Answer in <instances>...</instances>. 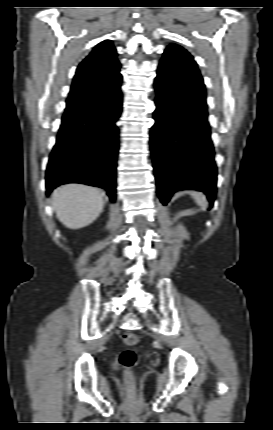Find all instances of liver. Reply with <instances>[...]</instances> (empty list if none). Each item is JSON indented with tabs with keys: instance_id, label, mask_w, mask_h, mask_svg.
Wrapping results in <instances>:
<instances>
[{
	"instance_id": "6515ba94",
	"label": "liver",
	"mask_w": 273,
	"mask_h": 430,
	"mask_svg": "<svg viewBox=\"0 0 273 430\" xmlns=\"http://www.w3.org/2000/svg\"><path fill=\"white\" fill-rule=\"evenodd\" d=\"M104 193L80 184L58 187L52 193V205L57 218L70 229L91 224L103 210Z\"/></svg>"
}]
</instances>
